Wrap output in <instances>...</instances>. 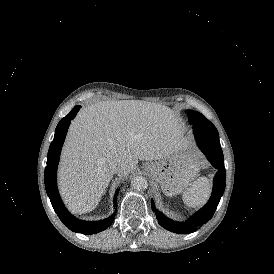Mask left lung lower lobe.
<instances>
[{"instance_id":"obj_1","label":"left lung lower lobe","mask_w":274,"mask_h":274,"mask_svg":"<svg viewBox=\"0 0 274 274\" xmlns=\"http://www.w3.org/2000/svg\"><path fill=\"white\" fill-rule=\"evenodd\" d=\"M189 122L193 125L195 138L199 148L218 172L214 178L213 191L209 201L188 221H172L155 208L154 201L151 199L152 210L156 214L158 223L163 228L178 234L194 232L212 218L220 198L224 193L226 180L223 152L219 143V134L217 129L214 125L202 126L200 123L196 122L195 119H189Z\"/></svg>"}]
</instances>
